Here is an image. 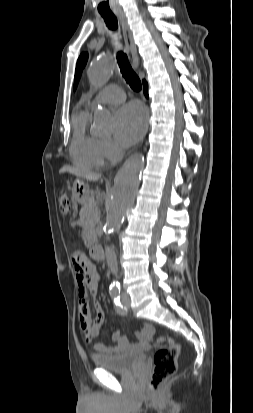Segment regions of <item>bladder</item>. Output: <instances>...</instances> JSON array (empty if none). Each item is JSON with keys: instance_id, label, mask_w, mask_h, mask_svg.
<instances>
[{"instance_id": "31cf9c89", "label": "bladder", "mask_w": 253, "mask_h": 413, "mask_svg": "<svg viewBox=\"0 0 253 413\" xmlns=\"http://www.w3.org/2000/svg\"><path fill=\"white\" fill-rule=\"evenodd\" d=\"M145 361L143 351H129L114 355H96L93 362L96 366L110 371L127 372L141 366Z\"/></svg>"}]
</instances>
